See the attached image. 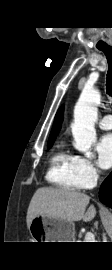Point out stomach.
<instances>
[{
    "label": "stomach",
    "instance_id": "obj_1",
    "mask_svg": "<svg viewBox=\"0 0 112 270\" xmlns=\"http://www.w3.org/2000/svg\"><path fill=\"white\" fill-rule=\"evenodd\" d=\"M29 232L34 242H74L75 225L71 221L47 216H36Z\"/></svg>",
    "mask_w": 112,
    "mask_h": 270
}]
</instances>
